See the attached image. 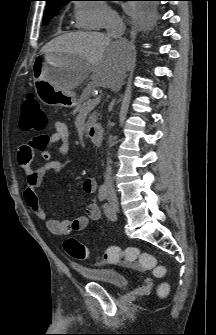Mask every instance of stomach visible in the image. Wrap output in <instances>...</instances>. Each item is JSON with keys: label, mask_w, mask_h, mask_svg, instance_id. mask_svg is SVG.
Returning <instances> with one entry per match:
<instances>
[{"label": "stomach", "mask_w": 216, "mask_h": 335, "mask_svg": "<svg viewBox=\"0 0 216 335\" xmlns=\"http://www.w3.org/2000/svg\"><path fill=\"white\" fill-rule=\"evenodd\" d=\"M72 59L69 55L45 54L37 57L34 65L35 90L39 99L46 105L71 108L77 105L74 92H65L57 85L69 69Z\"/></svg>", "instance_id": "1"}]
</instances>
